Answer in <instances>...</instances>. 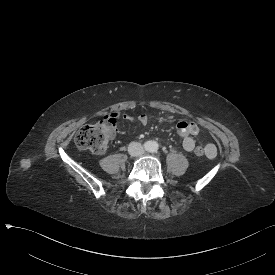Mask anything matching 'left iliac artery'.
<instances>
[{"instance_id": "1", "label": "left iliac artery", "mask_w": 275, "mask_h": 275, "mask_svg": "<svg viewBox=\"0 0 275 275\" xmlns=\"http://www.w3.org/2000/svg\"><path fill=\"white\" fill-rule=\"evenodd\" d=\"M152 152H157V144L154 143V146L151 149Z\"/></svg>"}]
</instances>
